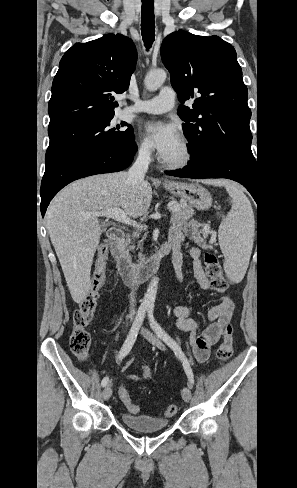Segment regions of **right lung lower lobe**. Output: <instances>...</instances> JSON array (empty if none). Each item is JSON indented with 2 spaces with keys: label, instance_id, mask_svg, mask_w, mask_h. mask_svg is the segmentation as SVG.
<instances>
[{
  "label": "right lung lower lobe",
  "instance_id": "1",
  "mask_svg": "<svg viewBox=\"0 0 297 488\" xmlns=\"http://www.w3.org/2000/svg\"><path fill=\"white\" fill-rule=\"evenodd\" d=\"M136 151L135 141L85 148L47 167L40 189L42 217L52 198L64 186L86 176L121 171L132 163Z\"/></svg>",
  "mask_w": 297,
  "mask_h": 488
}]
</instances>
